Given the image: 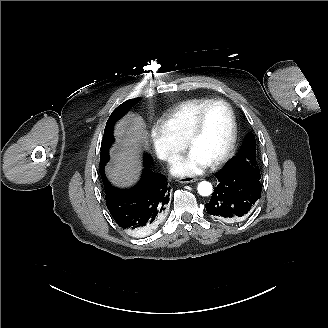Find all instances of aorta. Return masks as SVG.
I'll use <instances>...</instances> for the list:
<instances>
[{
    "label": "aorta",
    "instance_id": "obj_1",
    "mask_svg": "<svg viewBox=\"0 0 328 328\" xmlns=\"http://www.w3.org/2000/svg\"><path fill=\"white\" fill-rule=\"evenodd\" d=\"M197 190L201 196H209L213 192V187L210 182L202 181L198 184Z\"/></svg>",
    "mask_w": 328,
    "mask_h": 328
}]
</instances>
